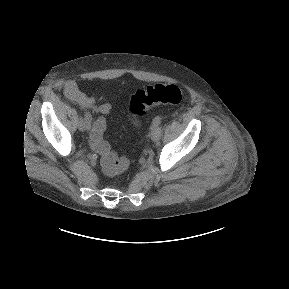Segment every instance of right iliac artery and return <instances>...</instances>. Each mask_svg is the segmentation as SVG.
<instances>
[{
    "instance_id": "1",
    "label": "right iliac artery",
    "mask_w": 289,
    "mask_h": 289,
    "mask_svg": "<svg viewBox=\"0 0 289 289\" xmlns=\"http://www.w3.org/2000/svg\"><path fill=\"white\" fill-rule=\"evenodd\" d=\"M84 116H85V119H86V120H88L89 122L91 121L92 118H91V115H90L89 112H85V115H84Z\"/></svg>"
}]
</instances>
